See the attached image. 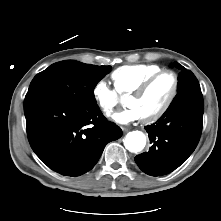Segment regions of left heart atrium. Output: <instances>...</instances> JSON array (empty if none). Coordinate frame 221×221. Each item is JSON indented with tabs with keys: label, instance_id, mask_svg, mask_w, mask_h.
<instances>
[{
	"label": "left heart atrium",
	"instance_id": "obj_1",
	"mask_svg": "<svg viewBox=\"0 0 221 221\" xmlns=\"http://www.w3.org/2000/svg\"><path fill=\"white\" fill-rule=\"evenodd\" d=\"M139 119H141L140 114L132 107L118 111L113 115V120L121 125H127Z\"/></svg>",
	"mask_w": 221,
	"mask_h": 221
}]
</instances>
